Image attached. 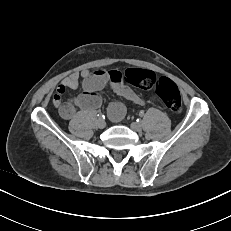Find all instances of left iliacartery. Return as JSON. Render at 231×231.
<instances>
[{
    "mask_svg": "<svg viewBox=\"0 0 231 231\" xmlns=\"http://www.w3.org/2000/svg\"><path fill=\"white\" fill-rule=\"evenodd\" d=\"M139 115H140L141 117H143V116H144V112L141 111Z\"/></svg>",
    "mask_w": 231,
    "mask_h": 231,
    "instance_id": "obj_1",
    "label": "left iliac artery"
}]
</instances>
